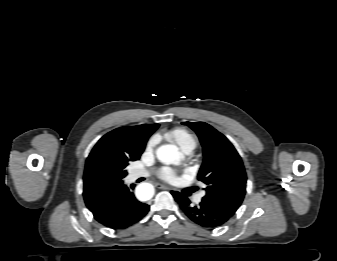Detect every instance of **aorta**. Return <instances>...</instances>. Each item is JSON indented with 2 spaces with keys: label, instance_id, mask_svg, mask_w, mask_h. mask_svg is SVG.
Wrapping results in <instances>:
<instances>
[{
  "label": "aorta",
  "instance_id": "762f6f07",
  "mask_svg": "<svg viewBox=\"0 0 337 261\" xmlns=\"http://www.w3.org/2000/svg\"><path fill=\"white\" fill-rule=\"evenodd\" d=\"M156 156L164 164H178L183 159V155L179 152L178 147L171 144L158 147ZM135 193L138 199L146 201L152 198L154 187L150 183L143 182L136 187Z\"/></svg>",
  "mask_w": 337,
  "mask_h": 261
}]
</instances>
